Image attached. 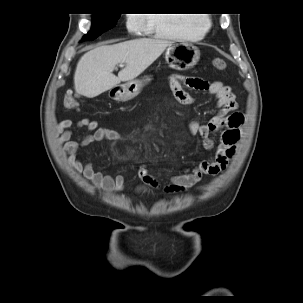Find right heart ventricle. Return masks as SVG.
Instances as JSON below:
<instances>
[{
  "label": "right heart ventricle",
  "instance_id": "obj_1",
  "mask_svg": "<svg viewBox=\"0 0 303 303\" xmlns=\"http://www.w3.org/2000/svg\"><path fill=\"white\" fill-rule=\"evenodd\" d=\"M146 28L166 38L200 37V19L191 14H147Z\"/></svg>",
  "mask_w": 303,
  "mask_h": 303
}]
</instances>
